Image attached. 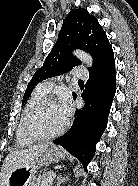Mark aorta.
Returning <instances> with one entry per match:
<instances>
[{"instance_id": "obj_1", "label": "aorta", "mask_w": 138, "mask_h": 186, "mask_svg": "<svg viewBox=\"0 0 138 186\" xmlns=\"http://www.w3.org/2000/svg\"><path fill=\"white\" fill-rule=\"evenodd\" d=\"M73 55L81 60L83 63H85L88 67L93 66V58L88 53L81 50H76L73 52Z\"/></svg>"}]
</instances>
